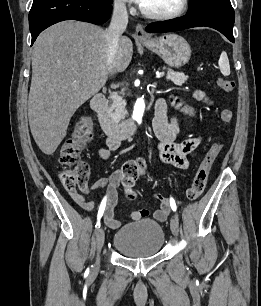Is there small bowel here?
Segmentation results:
<instances>
[{
  "label": "small bowel",
  "mask_w": 261,
  "mask_h": 306,
  "mask_svg": "<svg viewBox=\"0 0 261 306\" xmlns=\"http://www.w3.org/2000/svg\"><path fill=\"white\" fill-rule=\"evenodd\" d=\"M196 99L208 104H212L210 98L202 91H194ZM185 111L192 114L191 108H185ZM153 130L158 140L157 151L159 159L171 164L179 169L189 168V159L198 152V148L202 143V138L191 137L183 140L182 142H176V137L179 133V123L176 117H170L167 114V106L164 100H158L156 104L155 116L153 119ZM121 140L108 138L107 147L100 148L98 155L102 159H108L111 153L120 147ZM119 184V171H116L109 177H102L97 179L91 186H86L82 189V192H78L75 189L69 190V195L72 200L86 211H92L94 209V201L86 198V195L93 190L100 188H106V204L103 211V221L111 229H117L121 226V221L114 215V208L117 204V186ZM157 200L160 202V206L154 211L153 217L159 222H163L167 219L170 213V206L168 199L161 194L156 195ZM148 215L147 210H136L130 214L132 220H140Z\"/></svg>",
  "instance_id": "c3829d8e"
}]
</instances>
